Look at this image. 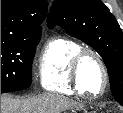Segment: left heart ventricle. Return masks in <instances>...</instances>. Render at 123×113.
<instances>
[{"mask_svg":"<svg viewBox=\"0 0 123 113\" xmlns=\"http://www.w3.org/2000/svg\"><path fill=\"white\" fill-rule=\"evenodd\" d=\"M81 80L87 93H98L103 85V76L98 62L93 57H86L81 65Z\"/></svg>","mask_w":123,"mask_h":113,"instance_id":"left-heart-ventricle-1","label":"left heart ventricle"}]
</instances>
